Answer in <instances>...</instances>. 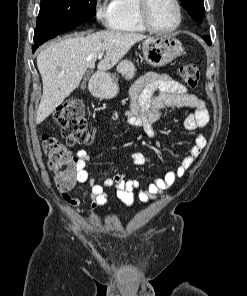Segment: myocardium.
Instances as JSON below:
<instances>
[{
  "instance_id": "obj_1",
  "label": "myocardium",
  "mask_w": 247,
  "mask_h": 296,
  "mask_svg": "<svg viewBox=\"0 0 247 296\" xmlns=\"http://www.w3.org/2000/svg\"><path fill=\"white\" fill-rule=\"evenodd\" d=\"M175 5L176 13H177V20L176 23L167 29H160L153 25L149 17V5L150 0H138L137 3V13L140 22L144 25L146 29L158 34H169L176 31L181 23H182V7L179 0H172Z\"/></svg>"
}]
</instances>
